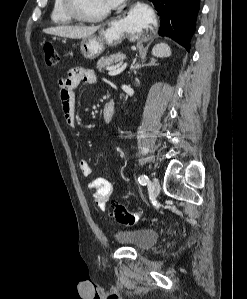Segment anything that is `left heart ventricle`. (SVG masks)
I'll return each instance as SVG.
<instances>
[{
	"mask_svg": "<svg viewBox=\"0 0 247 299\" xmlns=\"http://www.w3.org/2000/svg\"><path fill=\"white\" fill-rule=\"evenodd\" d=\"M81 11L86 15H97L109 8L107 0H78Z\"/></svg>",
	"mask_w": 247,
	"mask_h": 299,
	"instance_id": "obj_1",
	"label": "left heart ventricle"
}]
</instances>
